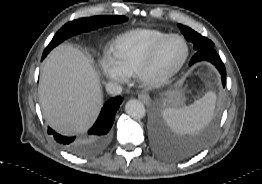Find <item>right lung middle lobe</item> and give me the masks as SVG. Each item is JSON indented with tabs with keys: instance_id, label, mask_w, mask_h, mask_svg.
Returning a JSON list of instances; mask_svg holds the SVG:
<instances>
[{
	"instance_id": "right-lung-middle-lobe-1",
	"label": "right lung middle lobe",
	"mask_w": 262,
	"mask_h": 184,
	"mask_svg": "<svg viewBox=\"0 0 262 184\" xmlns=\"http://www.w3.org/2000/svg\"><path fill=\"white\" fill-rule=\"evenodd\" d=\"M127 18L125 16H94L81 18L74 21H71L64 25L53 37L49 45L43 52V58L58 44H60L65 39L82 33L86 31H90L93 29H97L102 26H107L110 24H116L126 21Z\"/></svg>"
}]
</instances>
